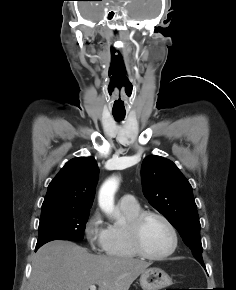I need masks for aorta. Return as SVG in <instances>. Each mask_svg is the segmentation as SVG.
Masks as SVG:
<instances>
[{
	"label": "aorta",
	"instance_id": "1",
	"mask_svg": "<svg viewBox=\"0 0 236 290\" xmlns=\"http://www.w3.org/2000/svg\"><path fill=\"white\" fill-rule=\"evenodd\" d=\"M118 184L117 178H109L104 182L99 191V206L108 216H112L114 213V195L117 191Z\"/></svg>",
	"mask_w": 236,
	"mask_h": 290
}]
</instances>
